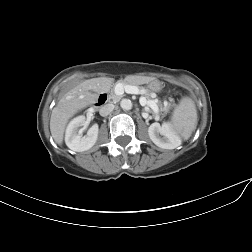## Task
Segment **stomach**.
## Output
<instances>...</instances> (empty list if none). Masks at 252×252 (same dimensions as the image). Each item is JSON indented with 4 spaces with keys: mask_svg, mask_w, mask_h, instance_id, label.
Listing matches in <instances>:
<instances>
[{
    "mask_svg": "<svg viewBox=\"0 0 252 252\" xmlns=\"http://www.w3.org/2000/svg\"><path fill=\"white\" fill-rule=\"evenodd\" d=\"M148 88L152 91H160L162 89V83L158 80H152L148 82Z\"/></svg>",
    "mask_w": 252,
    "mask_h": 252,
    "instance_id": "0dacf381",
    "label": "stomach"
}]
</instances>
